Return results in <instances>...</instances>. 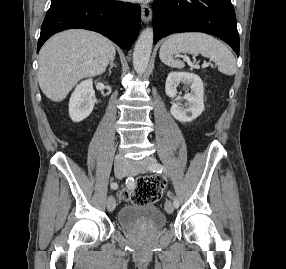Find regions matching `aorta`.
I'll return each mask as SVG.
<instances>
[{"instance_id":"762f6f07","label":"aorta","mask_w":286,"mask_h":269,"mask_svg":"<svg viewBox=\"0 0 286 269\" xmlns=\"http://www.w3.org/2000/svg\"><path fill=\"white\" fill-rule=\"evenodd\" d=\"M153 45V29L146 28L140 34L133 52V66L137 73H143L149 63Z\"/></svg>"}]
</instances>
